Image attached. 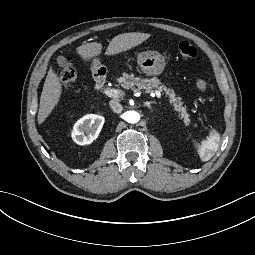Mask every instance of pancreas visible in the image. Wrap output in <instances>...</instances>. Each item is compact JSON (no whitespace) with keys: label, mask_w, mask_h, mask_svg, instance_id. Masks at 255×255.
I'll use <instances>...</instances> for the list:
<instances>
[{"label":"pancreas","mask_w":255,"mask_h":255,"mask_svg":"<svg viewBox=\"0 0 255 255\" xmlns=\"http://www.w3.org/2000/svg\"><path fill=\"white\" fill-rule=\"evenodd\" d=\"M117 81L124 89H131L134 92L152 93L155 88L160 91L163 90L165 94L169 96L170 103L173 104L174 110L180 113V117L183 119L185 125H189V114L186 111V107L183 106L181 97H176L174 90L162 85L158 78L141 79L135 77L133 73L128 74L124 72Z\"/></svg>","instance_id":"cf45deb5"}]
</instances>
